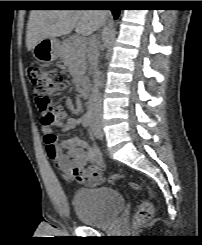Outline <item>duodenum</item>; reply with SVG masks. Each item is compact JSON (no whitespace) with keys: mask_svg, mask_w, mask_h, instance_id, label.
Segmentation results:
<instances>
[{"mask_svg":"<svg viewBox=\"0 0 202 245\" xmlns=\"http://www.w3.org/2000/svg\"><path fill=\"white\" fill-rule=\"evenodd\" d=\"M77 90L82 97H87L89 92V83L86 78H81L76 83Z\"/></svg>","mask_w":202,"mask_h":245,"instance_id":"duodenum-1","label":"duodenum"}]
</instances>
